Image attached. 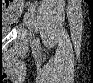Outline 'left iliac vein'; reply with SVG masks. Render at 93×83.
<instances>
[{
    "label": "left iliac vein",
    "instance_id": "4c4485c4",
    "mask_svg": "<svg viewBox=\"0 0 93 83\" xmlns=\"http://www.w3.org/2000/svg\"><path fill=\"white\" fill-rule=\"evenodd\" d=\"M24 22L30 30V36H31V39H32V34H31V32H32V15L29 12L25 13Z\"/></svg>",
    "mask_w": 93,
    "mask_h": 83
}]
</instances>
